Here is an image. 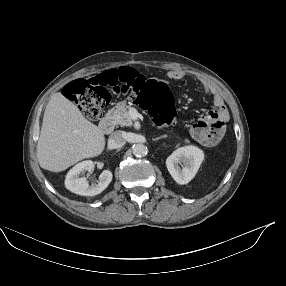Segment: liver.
Returning a JSON list of instances; mask_svg holds the SVG:
<instances>
[{
    "label": "liver",
    "instance_id": "1",
    "mask_svg": "<svg viewBox=\"0 0 286 286\" xmlns=\"http://www.w3.org/2000/svg\"><path fill=\"white\" fill-rule=\"evenodd\" d=\"M103 131L61 92L51 96L43 116L37 157L43 169L61 172L80 160L100 155Z\"/></svg>",
    "mask_w": 286,
    "mask_h": 286
}]
</instances>
